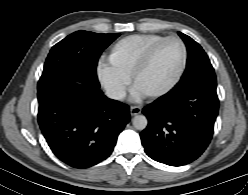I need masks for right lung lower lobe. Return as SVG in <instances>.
Wrapping results in <instances>:
<instances>
[{
    "label": "right lung lower lobe",
    "mask_w": 248,
    "mask_h": 195,
    "mask_svg": "<svg viewBox=\"0 0 248 195\" xmlns=\"http://www.w3.org/2000/svg\"><path fill=\"white\" fill-rule=\"evenodd\" d=\"M62 81L38 90V122L52 152L84 169L105 160L130 120L129 107L99 88Z\"/></svg>",
    "instance_id": "98d812e1"
}]
</instances>
